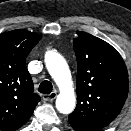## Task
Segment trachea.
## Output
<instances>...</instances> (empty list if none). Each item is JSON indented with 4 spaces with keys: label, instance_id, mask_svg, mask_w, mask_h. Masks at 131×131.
I'll return each instance as SVG.
<instances>
[{
    "label": "trachea",
    "instance_id": "obj_1",
    "mask_svg": "<svg viewBox=\"0 0 131 131\" xmlns=\"http://www.w3.org/2000/svg\"><path fill=\"white\" fill-rule=\"evenodd\" d=\"M52 83L50 81H43L40 86L38 91L43 94H50L52 92Z\"/></svg>",
    "mask_w": 131,
    "mask_h": 131
}]
</instances>
